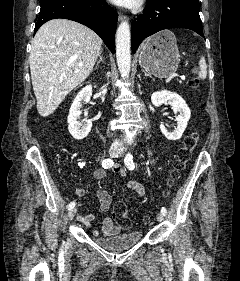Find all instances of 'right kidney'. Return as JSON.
<instances>
[{"label":"right kidney","mask_w":240,"mask_h":281,"mask_svg":"<svg viewBox=\"0 0 240 281\" xmlns=\"http://www.w3.org/2000/svg\"><path fill=\"white\" fill-rule=\"evenodd\" d=\"M92 96V86H85L75 97L68 115V130L72 137L76 140L84 139L91 131L92 122L87 119L88 112L84 111V118L80 121L82 114V103H88Z\"/></svg>","instance_id":"ca27d5eb"}]
</instances>
